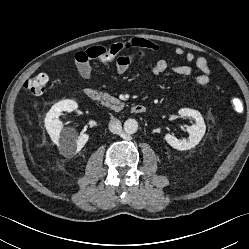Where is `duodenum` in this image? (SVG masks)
<instances>
[{
	"mask_svg": "<svg viewBox=\"0 0 249 249\" xmlns=\"http://www.w3.org/2000/svg\"><path fill=\"white\" fill-rule=\"evenodd\" d=\"M85 96L91 101H99L101 99V93L99 90L95 88L88 87L84 90ZM147 110V106L145 104H135L132 106L131 111L134 114H143Z\"/></svg>",
	"mask_w": 249,
	"mask_h": 249,
	"instance_id": "410a0bca",
	"label": "duodenum"
}]
</instances>
